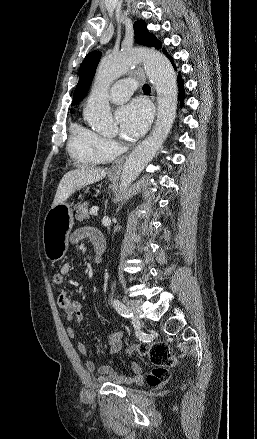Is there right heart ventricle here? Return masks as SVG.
I'll use <instances>...</instances> for the list:
<instances>
[{"label":"right heart ventricle","instance_id":"right-heart-ventricle-1","mask_svg":"<svg viewBox=\"0 0 257 439\" xmlns=\"http://www.w3.org/2000/svg\"><path fill=\"white\" fill-rule=\"evenodd\" d=\"M99 135L80 124L72 125L68 151L74 161L83 166H96L106 159L98 150Z\"/></svg>","mask_w":257,"mask_h":439}]
</instances>
